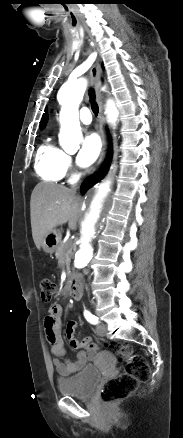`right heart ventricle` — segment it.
Listing matches in <instances>:
<instances>
[{
	"label": "right heart ventricle",
	"mask_w": 183,
	"mask_h": 438,
	"mask_svg": "<svg viewBox=\"0 0 183 438\" xmlns=\"http://www.w3.org/2000/svg\"><path fill=\"white\" fill-rule=\"evenodd\" d=\"M66 155L63 150L49 142L41 145L35 163L38 175L46 181H60L66 174Z\"/></svg>",
	"instance_id": "right-heart-ventricle-1"
}]
</instances>
